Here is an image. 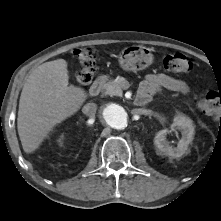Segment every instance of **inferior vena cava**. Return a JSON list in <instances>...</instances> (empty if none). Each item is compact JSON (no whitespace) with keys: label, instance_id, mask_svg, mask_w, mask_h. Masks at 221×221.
<instances>
[{"label":"inferior vena cava","instance_id":"obj_1","mask_svg":"<svg viewBox=\"0 0 221 221\" xmlns=\"http://www.w3.org/2000/svg\"><path fill=\"white\" fill-rule=\"evenodd\" d=\"M96 110L97 105L95 103H88L83 107L82 112L89 117H93L96 114Z\"/></svg>","mask_w":221,"mask_h":221}]
</instances>
